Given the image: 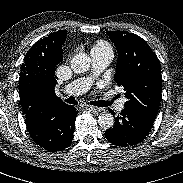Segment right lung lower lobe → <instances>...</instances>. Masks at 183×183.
Here are the masks:
<instances>
[{"label": "right lung lower lobe", "mask_w": 183, "mask_h": 183, "mask_svg": "<svg viewBox=\"0 0 183 183\" xmlns=\"http://www.w3.org/2000/svg\"><path fill=\"white\" fill-rule=\"evenodd\" d=\"M76 109L65 103H41L25 113L27 130L40 147L62 151L72 143Z\"/></svg>", "instance_id": "1"}]
</instances>
